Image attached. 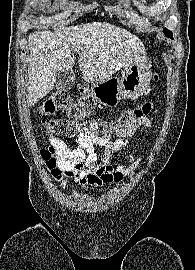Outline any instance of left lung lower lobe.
Wrapping results in <instances>:
<instances>
[{
  "mask_svg": "<svg viewBox=\"0 0 195 270\" xmlns=\"http://www.w3.org/2000/svg\"><path fill=\"white\" fill-rule=\"evenodd\" d=\"M165 35H166V34H165ZM166 36H168V35H166ZM168 37L173 38L172 36H168Z\"/></svg>",
  "mask_w": 195,
  "mask_h": 270,
  "instance_id": "1",
  "label": "left lung lower lobe"
}]
</instances>
